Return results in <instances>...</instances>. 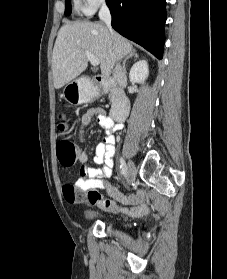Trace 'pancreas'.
<instances>
[{
	"label": "pancreas",
	"mask_w": 227,
	"mask_h": 279,
	"mask_svg": "<svg viewBox=\"0 0 227 279\" xmlns=\"http://www.w3.org/2000/svg\"><path fill=\"white\" fill-rule=\"evenodd\" d=\"M109 99H110V101H113V99H114V90L113 89L110 90Z\"/></svg>",
	"instance_id": "obj_1"
}]
</instances>
